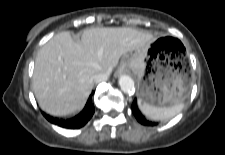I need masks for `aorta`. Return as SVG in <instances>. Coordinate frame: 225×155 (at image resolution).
Returning a JSON list of instances; mask_svg holds the SVG:
<instances>
[{
    "label": "aorta",
    "instance_id": "762f6f07",
    "mask_svg": "<svg viewBox=\"0 0 225 155\" xmlns=\"http://www.w3.org/2000/svg\"><path fill=\"white\" fill-rule=\"evenodd\" d=\"M119 85L124 93H133L135 91L134 80L128 75H122L119 78Z\"/></svg>",
    "mask_w": 225,
    "mask_h": 155
}]
</instances>
